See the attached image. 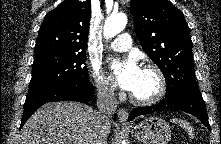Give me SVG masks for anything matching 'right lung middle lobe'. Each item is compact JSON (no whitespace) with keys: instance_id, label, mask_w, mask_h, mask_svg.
<instances>
[{"instance_id":"1","label":"right lung middle lobe","mask_w":221,"mask_h":144,"mask_svg":"<svg viewBox=\"0 0 221 144\" xmlns=\"http://www.w3.org/2000/svg\"><path fill=\"white\" fill-rule=\"evenodd\" d=\"M86 53L41 52L34 56L27 97L60 83H89Z\"/></svg>"}]
</instances>
